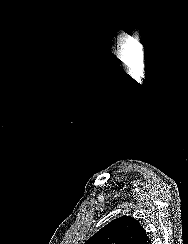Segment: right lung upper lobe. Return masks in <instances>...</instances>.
I'll use <instances>...</instances> for the list:
<instances>
[{
  "label": "right lung upper lobe",
  "mask_w": 188,
  "mask_h": 244,
  "mask_svg": "<svg viewBox=\"0 0 188 244\" xmlns=\"http://www.w3.org/2000/svg\"><path fill=\"white\" fill-rule=\"evenodd\" d=\"M85 244H151V241L137 220L122 216L105 225Z\"/></svg>",
  "instance_id": "obj_1"
}]
</instances>
